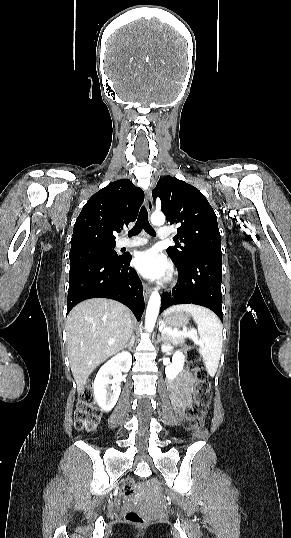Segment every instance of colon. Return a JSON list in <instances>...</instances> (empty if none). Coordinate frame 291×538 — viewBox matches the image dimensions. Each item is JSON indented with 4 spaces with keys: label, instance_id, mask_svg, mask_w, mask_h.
<instances>
[{
    "label": "colon",
    "instance_id": "5ec220e1",
    "mask_svg": "<svg viewBox=\"0 0 291 538\" xmlns=\"http://www.w3.org/2000/svg\"><path fill=\"white\" fill-rule=\"evenodd\" d=\"M183 349L193 365L196 382L193 402L185 409L184 425L187 429L195 431L202 426L203 417L210 402V382L198 351L190 344H184ZM100 417L101 411L95 405L94 394L91 384H89L80 393L74 424L79 430L92 431L97 426ZM122 492L127 497L134 494V484L130 478L124 479ZM125 520L137 527H143L147 524V519L134 510L126 513Z\"/></svg>",
    "mask_w": 291,
    "mask_h": 538
}]
</instances>
